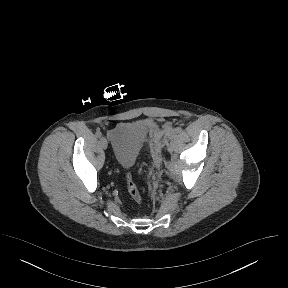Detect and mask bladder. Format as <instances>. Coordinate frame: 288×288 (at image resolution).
Segmentation results:
<instances>
[{"mask_svg": "<svg viewBox=\"0 0 288 288\" xmlns=\"http://www.w3.org/2000/svg\"><path fill=\"white\" fill-rule=\"evenodd\" d=\"M147 134V127L137 122L120 124L110 132L113 157L119 166L133 165Z\"/></svg>", "mask_w": 288, "mask_h": 288, "instance_id": "31cf9c89", "label": "bladder"}]
</instances>
